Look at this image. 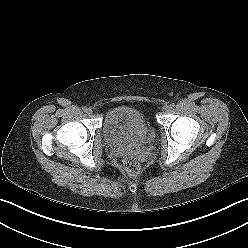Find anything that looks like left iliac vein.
<instances>
[{
  "instance_id": "1",
  "label": "left iliac vein",
  "mask_w": 248,
  "mask_h": 248,
  "mask_svg": "<svg viewBox=\"0 0 248 248\" xmlns=\"http://www.w3.org/2000/svg\"><path fill=\"white\" fill-rule=\"evenodd\" d=\"M163 109H164V111L167 112V113L171 111L170 105H165Z\"/></svg>"
}]
</instances>
